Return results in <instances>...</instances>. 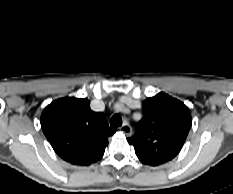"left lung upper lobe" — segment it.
Here are the masks:
<instances>
[{
	"label": "left lung upper lobe",
	"mask_w": 233,
	"mask_h": 194,
	"mask_svg": "<svg viewBox=\"0 0 233 194\" xmlns=\"http://www.w3.org/2000/svg\"><path fill=\"white\" fill-rule=\"evenodd\" d=\"M143 119L127 141L145 164L172 160L181 150L191 128V116L184 103L161 92L142 104Z\"/></svg>",
	"instance_id": "left-lung-upper-lobe-1"
}]
</instances>
